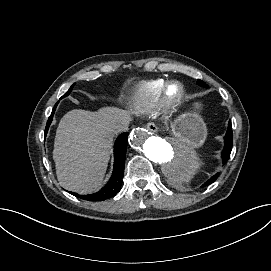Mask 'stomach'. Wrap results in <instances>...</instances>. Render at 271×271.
<instances>
[{
    "mask_svg": "<svg viewBox=\"0 0 271 271\" xmlns=\"http://www.w3.org/2000/svg\"><path fill=\"white\" fill-rule=\"evenodd\" d=\"M171 130L177 138H181L199 146L206 136V126L204 122L193 114L180 116L171 125Z\"/></svg>",
    "mask_w": 271,
    "mask_h": 271,
    "instance_id": "0dacf381",
    "label": "stomach"
}]
</instances>
